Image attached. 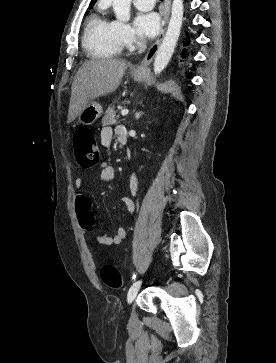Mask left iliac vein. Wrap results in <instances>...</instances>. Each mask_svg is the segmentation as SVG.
Returning a JSON list of instances; mask_svg holds the SVG:
<instances>
[{"instance_id": "4c4485c4", "label": "left iliac vein", "mask_w": 276, "mask_h": 363, "mask_svg": "<svg viewBox=\"0 0 276 363\" xmlns=\"http://www.w3.org/2000/svg\"><path fill=\"white\" fill-rule=\"evenodd\" d=\"M141 284H142V280L140 279V280L135 281L131 285V287H130V289L128 291V294H127L128 303H131L135 299V297H136V295H137V293H138V291H139V289L141 287Z\"/></svg>"}]
</instances>
